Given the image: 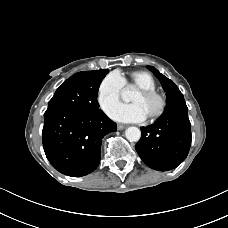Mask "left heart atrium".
<instances>
[{
  "mask_svg": "<svg viewBox=\"0 0 228 228\" xmlns=\"http://www.w3.org/2000/svg\"><path fill=\"white\" fill-rule=\"evenodd\" d=\"M107 114L111 119L124 123L142 122L147 118L141 106L135 103H116L108 109Z\"/></svg>",
  "mask_w": 228,
  "mask_h": 228,
  "instance_id": "obj_1",
  "label": "left heart atrium"
}]
</instances>
